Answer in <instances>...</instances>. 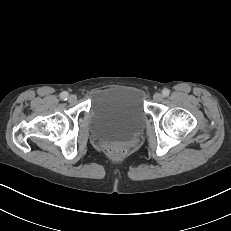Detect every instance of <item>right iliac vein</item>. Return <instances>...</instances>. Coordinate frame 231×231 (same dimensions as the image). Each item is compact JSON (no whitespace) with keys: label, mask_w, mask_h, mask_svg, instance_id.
Listing matches in <instances>:
<instances>
[{"label":"right iliac vein","mask_w":231,"mask_h":231,"mask_svg":"<svg viewBox=\"0 0 231 231\" xmlns=\"http://www.w3.org/2000/svg\"><path fill=\"white\" fill-rule=\"evenodd\" d=\"M68 100L70 103H74L77 100V96L72 94L68 97Z\"/></svg>","instance_id":"63e3f726"}]
</instances>
